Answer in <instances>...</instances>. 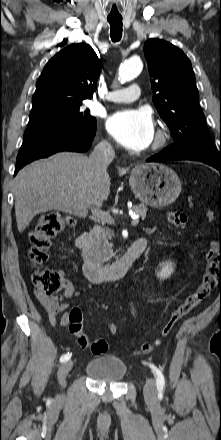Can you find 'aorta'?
Segmentation results:
<instances>
[{
	"label": "aorta",
	"mask_w": 221,
	"mask_h": 440,
	"mask_svg": "<svg viewBox=\"0 0 221 440\" xmlns=\"http://www.w3.org/2000/svg\"><path fill=\"white\" fill-rule=\"evenodd\" d=\"M143 63L139 58L125 61L119 68V80L124 83L136 78L142 71Z\"/></svg>",
	"instance_id": "obj_1"
}]
</instances>
